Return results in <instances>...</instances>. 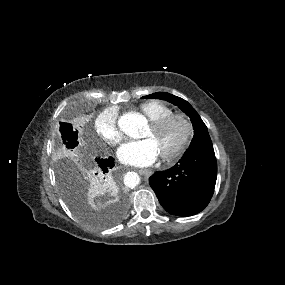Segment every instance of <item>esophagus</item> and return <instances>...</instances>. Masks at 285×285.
Listing matches in <instances>:
<instances>
[{"label":"esophagus","mask_w":285,"mask_h":285,"mask_svg":"<svg viewBox=\"0 0 285 285\" xmlns=\"http://www.w3.org/2000/svg\"><path fill=\"white\" fill-rule=\"evenodd\" d=\"M139 173L148 178L152 175L153 171L151 169H140Z\"/></svg>","instance_id":"obj_1"}]
</instances>
